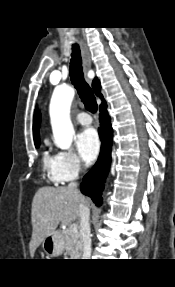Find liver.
Returning <instances> with one entry per match:
<instances>
[{"mask_svg": "<svg viewBox=\"0 0 175 287\" xmlns=\"http://www.w3.org/2000/svg\"><path fill=\"white\" fill-rule=\"evenodd\" d=\"M89 201L78 190L68 187H42L32 201V237L29 243L31 257L45 237L56 230L59 223L70 224L80 217V204Z\"/></svg>", "mask_w": 175, "mask_h": 287, "instance_id": "1", "label": "liver"}]
</instances>
